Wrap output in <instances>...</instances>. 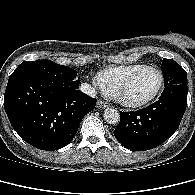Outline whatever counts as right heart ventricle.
I'll return each instance as SVG.
<instances>
[{"instance_id":"1","label":"right heart ventricle","mask_w":195,"mask_h":195,"mask_svg":"<svg viewBox=\"0 0 195 195\" xmlns=\"http://www.w3.org/2000/svg\"><path fill=\"white\" fill-rule=\"evenodd\" d=\"M142 64L123 65L106 69L99 73L98 78L101 81L106 93L112 97L117 96L120 87L124 81Z\"/></svg>"}]
</instances>
